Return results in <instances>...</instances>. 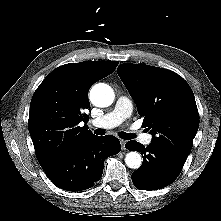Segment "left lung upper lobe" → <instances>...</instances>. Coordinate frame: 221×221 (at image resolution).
<instances>
[{
    "label": "left lung upper lobe",
    "instance_id": "1",
    "mask_svg": "<svg viewBox=\"0 0 221 221\" xmlns=\"http://www.w3.org/2000/svg\"><path fill=\"white\" fill-rule=\"evenodd\" d=\"M117 73L144 117L142 127L153 135L151 143L186 161L199 127L188 83L173 71L143 64H121Z\"/></svg>",
    "mask_w": 221,
    "mask_h": 221
}]
</instances>
